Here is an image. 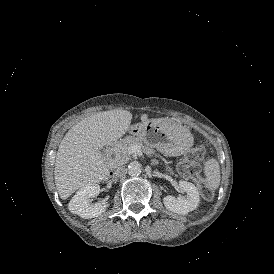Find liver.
<instances>
[{
    "label": "liver",
    "instance_id": "1",
    "mask_svg": "<svg viewBox=\"0 0 274 274\" xmlns=\"http://www.w3.org/2000/svg\"><path fill=\"white\" fill-rule=\"evenodd\" d=\"M131 119L127 110H110L92 114L69 129L59 145L54 170L61 199L88 183L108 178L110 172L100 149L121 138ZM147 120V114H143L141 121Z\"/></svg>",
    "mask_w": 274,
    "mask_h": 274
}]
</instances>
